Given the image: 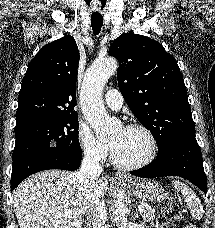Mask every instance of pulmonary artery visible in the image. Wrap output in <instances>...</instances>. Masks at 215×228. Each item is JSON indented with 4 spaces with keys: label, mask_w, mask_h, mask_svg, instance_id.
Wrapping results in <instances>:
<instances>
[{
    "label": "pulmonary artery",
    "mask_w": 215,
    "mask_h": 228,
    "mask_svg": "<svg viewBox=\"0 0 215 228\" xmlns=\"http://www.w3.org/2000/svg\"><path fill=\"white\" fill-rule=\"evenodd\" d=\"M105 103L112 109H119L123 103V97L118 90L111 89L105 94Z\"/></svg>",
    "instance_id": "1"
}]
</instances>
